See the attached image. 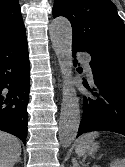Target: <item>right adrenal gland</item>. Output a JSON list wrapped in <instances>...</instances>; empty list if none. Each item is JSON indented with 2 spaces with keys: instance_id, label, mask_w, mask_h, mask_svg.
Here are the masks:
<instances>
[{
  "instance_id": "1",
  "label": "right adrenal gland",
  "mask_w": 125,
  "mask_h": 167,
  "mask_svg": "<svg viewBox=\"0 0 125 167\" xmlns=\"http://www.w3.org/2000/svg\"><path fill=\"white\" fill-rule=\"evenodd\" d=\"M18 162H22V161H21V158L18 159L17 163H18Z\"/></svg>"
}]
</instances>
